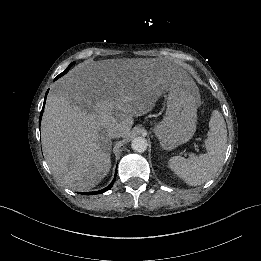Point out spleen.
I'll return each mask as SVG.
<instances>
[{"label":"spleen","mask_w":261,"mask_h":261,"mask_svg":"<svg viewBox=\"0 0 261 261\" xmlns=\"http://www.w3.org/2000/svg\"><path fill=\"white\" fill-rule=\"evenodd\" d=\"M205 146L207 153L184 158L174 156L169 168L188 185L197 186L210 180L222 167L227 149V128L222 114L212 112Z\"/></svg>","instance_id":"3e777b00"}]
</instances>
